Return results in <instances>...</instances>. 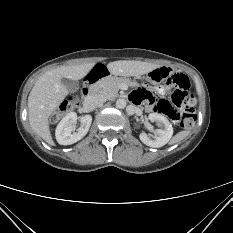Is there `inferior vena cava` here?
Wrapping results in <instances>:
<instances>
[{
  "label": "inferior vena cava",
  "instance_id": "obj_1",
  "mask_svg": "<svg viewBox=\"0 0 233 233\" xmlns=\"http://www.w3.org/2000/svg\"><path fill=\"white\" fill-rule=\"evenodd\" d=\"M106 102V97L102 94L88 95L84 100V106L89 109H95Z\"/></svg>",
  "mask_w": 233,
  "mask_h": 233
}]
</instances>
